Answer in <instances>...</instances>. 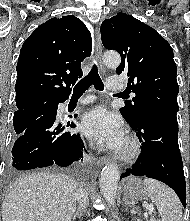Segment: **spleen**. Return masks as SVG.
<instances>
[{
    "label": "spleen",
    "instance_id": "obj_1",
    "mask_svg": "<svg viewBox=\"0 0 190 221\" xmlns=\"http://www.w3.org/2000/svg\"><path fill=\"white\" fill-rule=\"evenodd\" d=\"M148 196L157 206L162 221H182V206L175 192L161 182L145 178Z\"/></svg>",
    "mask_w": 190,
    "mask_h": 221
}]
</instances>
